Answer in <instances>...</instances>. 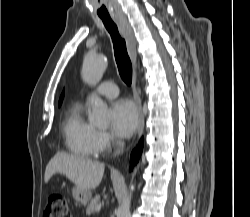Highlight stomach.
<instances>
[{
    "label": "stomach",
    "mask_w": 250,
    "mask_h": 217,
    "mask_svg": "<svg viewBox=\"0 0 250 217\" xmlns=\"http://www.w3.org/2000/svg\"><path fill=\"white\" fill-rule=\"evenodd\" d=\"M73 198L81 206H86L91 199V191L85 189H78L77 187L72 190Z\"/></svg>",
    "instance_id": "obj_1"
}]
</instances>
